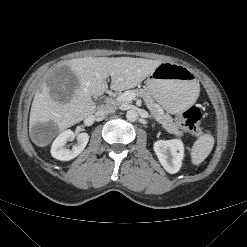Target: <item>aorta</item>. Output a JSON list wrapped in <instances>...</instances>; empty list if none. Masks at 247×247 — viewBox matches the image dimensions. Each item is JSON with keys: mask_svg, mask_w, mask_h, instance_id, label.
Instances as JSON below:
<instances>
[{"mask_svg": "<svg viewBox=\"0 0 247 247\" xmlns=\"http://www.w3.org/2000/svg\"><path fill=\"white\" fill-rule=\"evenodd\" d=\"M139 114L135 109H131L129 111H127L126 113V118L128 121L134 122L138 119Z\"/></svg>", "mask_w": 247, "mask_h": 247, "instance_id": "762f6f07", "label": "aorta"}]
</instances>
